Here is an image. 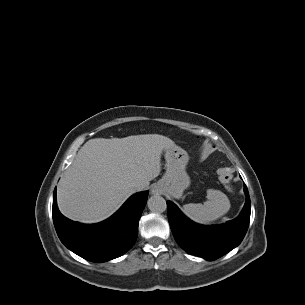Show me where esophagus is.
Masks as SVG:
<instances>
[{
    "label": "esophagus",
    "mask_w": 305,
    "mask_h": 305,
    "mask_svg": "<svg viewBox=\"0 0 305 305\" xmlns=\"http://www.w3.org/2000/svg\"><path fill=\"white\" fill-rule=\"evenodd\" d=\"M151 192H152V194H156V195H158V194H161V190L159 189V188H157V187H153L152 188V190H151Z\"/></svg>",
    "instance_id": "1"
}]
</instances>
